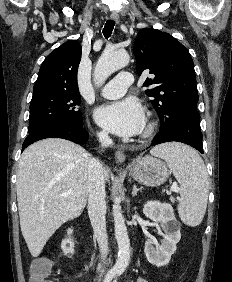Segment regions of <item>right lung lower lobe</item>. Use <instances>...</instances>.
I'll use <instances>...</instances> for the list:
<instances>
[{
  "label": "right lung lower lobe",
  "mask_w": 232,
  "mask_h": 282,
  "mask_svg": "<svg viewBox=\"0 0 232 282\" xmlns=\"http://www.w3.org/2000/svg\"><path fill=\"white\" fill-rule=\"evenodd\" d=\"M83 125H75L65 122L53 124L43 127L35 132L29 133L26 137L22 151L30 144L45 138H63L82 144L88 140V132L82 127Z\"/></svg>",
  "instance_id": "right-lung-lower-lobe-1"
}]
</instances>
